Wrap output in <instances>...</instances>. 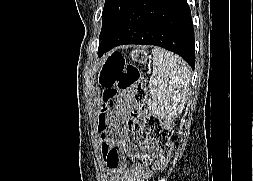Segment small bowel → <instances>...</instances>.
Here are the masks:
<instances>
[{"instance_id": "obj_1", "label": "small bowel", "mask_w": 253, "mask_h": 181, "mask_svg": "<svg viewBox=\"0 0 253 181\" xmlns=\"http://www.w3.org/2000/svg\"><path fill=\"white\" fill-rule=\"evenodd\" d=\"M132 102L131 93H121L106 117L108 128L106 125H97V130L102 132L103 161L114 181H148L152 175L151 163L157 156L152 140L135 127L134 121L129 120L126 128L119 125ZM127 132L134 133L135 141L127 142L123 139Z\"/></svg>"}]
</instances>
